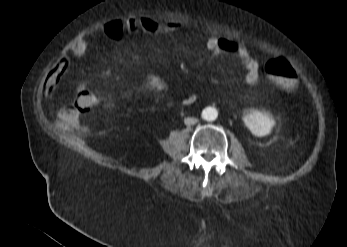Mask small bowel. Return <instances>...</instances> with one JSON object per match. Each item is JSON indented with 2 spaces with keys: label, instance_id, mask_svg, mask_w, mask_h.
I'll list each match as a JSON object with an SVG mask.
<instances>
[{
  "label": "small bowel",
  "instance_id": "c3829d8e",
  "mask_svg": "<svg viewBox=\"0 0 347 247\" xmlns=\"http://www.w3.org/2000/svg\"><path fill=\"white\" fill-rule=\"evenodd\" d=\"M171 28L158 24L150 19L130 18L124 21L113 20L108 22L102 28V37L119 42L123 39L126 32H149L161 33ZM205 47L213 57H223L230 55L237 59L245 68L244 82L249 87H254L259 81V62L254 58L244 43L236 42L227 37L210 34L205 39ZM90 48V44L85 40H78L70 47V52L76 57L84 56ZM69 69V61L67 58L60 60L52 68L45 81V91L49 95L55 92V89ZM146 87L153 91H167L170 87L169 83L156 74H149L145 79ZM78 92L81 90H89L85 82H80L77 86ZM196 102L194 93L187 94L182 99L184 106H190Z\"/></svg>",
  "mask_w": 347,
  "mask_h": 247
}]
</instances>
